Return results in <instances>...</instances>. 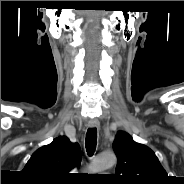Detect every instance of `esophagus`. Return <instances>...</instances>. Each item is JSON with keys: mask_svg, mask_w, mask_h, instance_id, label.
I'll return each mask as SVG.
<instances>
[{"mask_svg": "<svg viewBox=\"0 0 184 184\" xmlns=\"http://www.w3.org/2000/svg\"><path fill=\"white\" fill-rule=\"evenodd\" d=\"M88 126L90 128H98L100 126V123L97 119H90L88 122Z\"/></svg>", "mask_w": 184, "mask_h": 184, "instance_id": "esophagus-1", "label": "esophagus"}]
</instances>
